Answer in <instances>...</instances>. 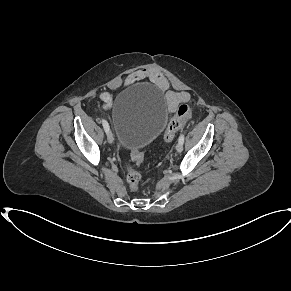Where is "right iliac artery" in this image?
Wrapping results in <instances>:
<instances>
[{"label":"right iliac artery","mask_w":291,"mask_h":291,"mask_svg":"<svg viewBox=\"0 0 291 291\" xmlns=\"http://www.w3.org/2000/svg\"><path fill=\"white\" fill-rule=\"evenodd\" d=\"M102 125L104 127V130L107 132L109 130V124L106 120L102 119Z\"/></svg>","instance_id":"1"}]
</instances>
